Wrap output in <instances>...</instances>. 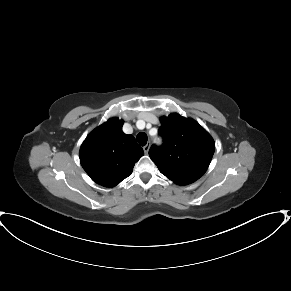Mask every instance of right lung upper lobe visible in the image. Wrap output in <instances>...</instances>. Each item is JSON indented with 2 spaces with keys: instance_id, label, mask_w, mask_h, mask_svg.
<instances>
[{
  "instance_id": "1",
  "label": "right lung upper lobe",
  "mask_w": 291,
  "mask_h": 291,
  "mask_svg": "<svg viewBox=\"0 0 291 291\" xmlns=\"http://www.w3.org/2000/svg\"><path fill=\"white\" fill-rule=\"evenodd\" d=\"M123 120L109 119L94 129L80 148V162L91 179L114 187L131 175L134 164L144 155L134 136L122 131Z\"/></svg>"
}]
</instances>
